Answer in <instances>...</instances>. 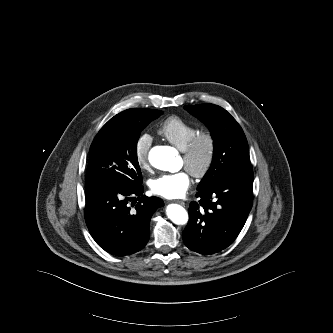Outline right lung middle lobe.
Returning a JSON list of instances; mask_svg holds the SVG:
<instances>
[{"label":"right lung middle lobe","mask_w":333,"mask_h":333,"mask_svg":"<svg viewBox=\"0 0 333 333\" xmlns=\"http://www.w3.org/2000/svg\"><path fill=\"white\" fill-rule=\"evenodd\" d=\"M162 114L159 110L134 108L110 119L90 147L86 182L141 184L137 141L141 131Z\"/></svg>","instance_id":"right-lung-middle-lobe-1"}]
</instances>
